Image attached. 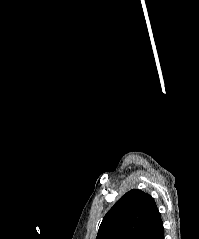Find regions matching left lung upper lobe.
Returning a JSON list of instances; mask_svg holds the SVG:
<instances>
[{
  "mask_svg": "<svg viewBox=\"0 0 199 239\" xmlns=\"http://www.w3.org/2000/svg\"><path fill=\"white\" fill-rule=\"evenodd\" d=\"M161 221L154 199L133 189L104 216L96 239H152Z\"/></svg>",
  "mask_w": 199,
  "mask_h": 239,
  "instance_id": "5c2ea615",
  "label": "left lung upper lobe"
}]
</instances>
